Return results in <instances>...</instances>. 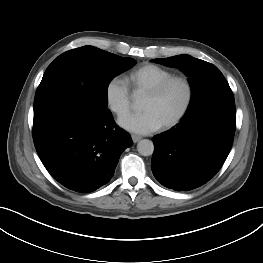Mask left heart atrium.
<instances>
[{
  "instance_id": "39dd6f15",
  "label": "left heart atrium",
  "mask_w": 263,
  "mask_h": 263,
  "mask_svg": "<svg viewBox=\"0 0 263 263\" xmlns=\"http://www.w3.org/2000/svg\"><path fill=\"white\" fill-rule=\"evenodd\" d=\"M163 124L158 114L151 109L128 114L119 120L123 129L141 135L157 131Z\"/></svg>"
}]
</instances>
